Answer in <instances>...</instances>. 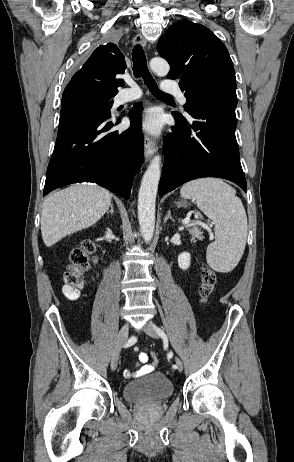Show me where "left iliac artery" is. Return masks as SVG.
I'll use <instances>...</instances> for the list:
<instances>
[{
	"instance_id": "1",
	"label": "left iliac artery",
	"mask_w": 294,
	"mask_h": 462,
	"mask_svg": "<svg viewBox=\"0 0 294 462\" xmlns=\"http://www.w3.org/2000/svg\"><path fill=\"white\" fill-rule=\"evenodd\" d=\"M155 328H156L157 333H158L163 339H167V336H166L165 332H164L162 329H160V328H158V327H155ZM166 358H167V360H169V361L172 360V358H174V353H172V351H167V357H166ZM172 367H173L174 369L177 368L176 365H173Z\"/></svg>"
}]
</instances>
